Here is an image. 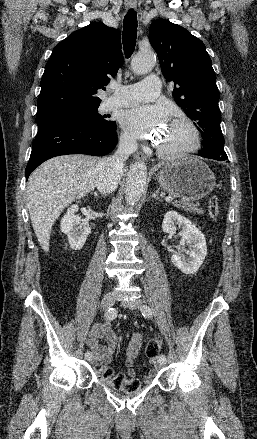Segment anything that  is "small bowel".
<instances>
[{
    "label": "small bowel",
    "mask_w": 257,
    "mask_h": 439,
    "mask_svg": "<svg viewBox=\"0 0 257 439\" xmlns=\"http://www.w3.org/2000/svg\"><path fill=\"white\" fill-rule=\"evenodd\" d=\"M102 341H104V343H102ZM86 344L94 355L96 366L108 367L119 345V340L111 329L110 323L105 322L93 326L86 339ZM142 346L143 335L136 333L125 347L123 366L127 369V375L131 379H135L136 377L135 362ZM151 362L154 364V368L151 369L147 375L143 376L141 380L137 379L139 383L149 384L157 375L156 359L152 358Z\"/></svg>",
    "instance_id": "small-bowel-1"
}]
</instances>
